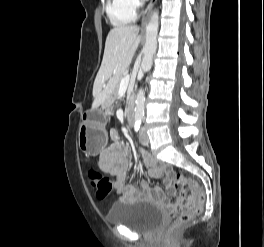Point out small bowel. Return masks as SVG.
I'll list each match as a JSON object with an SVG mask.
<instances>
[{"instance_id":"obj_1","label":"small bowel","mask_w":264,"mask_h":247,"mask_svg":"<svg viewBox=\"0 0 264 247\" xmlns=\"http://www.w3.org/2000/svg\"><path fill=\"white\" fill-rule=\"evenodd\" d=\"M110 136L113 142L100 153L99 168L112 176L115 180L113 187L122 200H130L139 197L155 199L158 202L165 201V194L159 188H152L146 181H141V191L132 185L126 184V177L130 167V151L128 147L119 140L116 131L112 130ZM145 164L149 168L150 175L160 178L164 184L165 191L169 196H174L175 191L170 185L174 172L171 167L157 161L148 152L141 150ZM181 198V196H179Z\"/></svg>"}]
</instances>
